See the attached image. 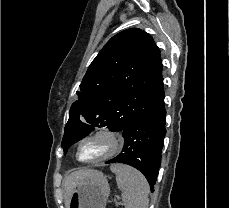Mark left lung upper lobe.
<instances>
[{
    "instance_id": "obj_1",
    "label": "left lung upper lobe",
    "mask_w": 229,
    "mask_h": 208,
    "mask_svg": "<svg viewBox=\"0 0 229 208\" xmlns=\"http://www.w3.org/2000/svg\"><path fill=\"white\" fill-rule=\"evenodd\" d=\"M69 112L64 154L94 127L122 131L163 95L162 61L149 34L131 28L113 36L90 64Z\"/></svg>"
}]
</instances>
